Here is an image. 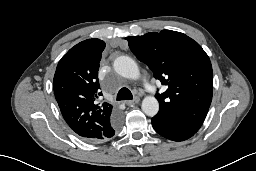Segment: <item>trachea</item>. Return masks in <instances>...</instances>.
Instances as JSON below:
<instances>
[{"label": "trachea", "instance_id": "obj_1", "mask_svg": "<svg viewBox=\"0 0 256 171\" xmlns=\"http://www.w3.org/2000/svg\"><path fill=\"white\" fill-rule=\"evenodd\" d=\"M132 99H133V95L128 88L123 87L119 90V92L117 94V101L132 100Z\"/></svg>", "mask_w": 256, "mask_h": 171}]
</instances>
